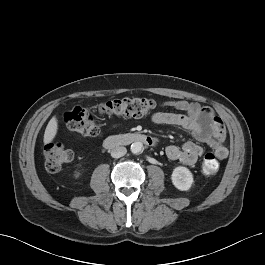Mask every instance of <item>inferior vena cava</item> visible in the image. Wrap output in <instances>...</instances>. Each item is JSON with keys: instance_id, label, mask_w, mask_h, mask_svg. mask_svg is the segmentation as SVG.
<instances>
[{"instance_id": "1", "label": "inferior vena cava", "mask_w": 265, "mask_h": 265, "mask_svg": "<svg viewBox=\"0 0 265 265\" xmlns=\"http://www.w3.org/2000/svg\"><path fill=\"white\" fill-rule=\"evenodd\" d=\"M127 153V149L123 146H118L115 147L114 149H112L111 151V156L113 158H120L122 156H124Z\"/></svg>"}]
</instances>
